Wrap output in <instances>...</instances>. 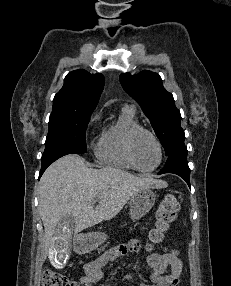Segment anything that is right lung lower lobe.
<instances>
[{
    "label": "right lung lower lobe",
    "instance_id": "right-lung-lower-lobe-1",
    "mask_svg": "<svg viewBox=\"0 0 231 286\" xmlns=\"http://www.w3.org/2000/svg\"><path fill=\"white\" fill-rule=\"evenodd\" d=\"M64 155H58V156H55L47 161H43L42 162V167H41V171H40V175H39V178L41 177V175L43 174V172L46 170V168L51 164L53 163L55 160H57L58 158L62 157Z\"/></svg>",
    "mask_w": 231,
    "mask_h": 286
}]
</instances>
